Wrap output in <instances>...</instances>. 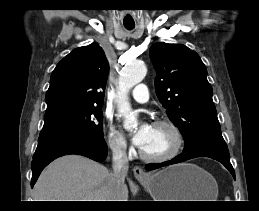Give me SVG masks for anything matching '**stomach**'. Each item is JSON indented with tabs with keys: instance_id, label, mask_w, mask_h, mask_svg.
I'll return each instance as SVG.
<instances>
[{
	"instance_id": "0dacf381",
	"label": "stomach",
	"mask_w": 259,
	"mask_h": 211,
	"mask_svg": "<svg viewBox=\"0 0 259 211\" xmlns=\"http://www.w3.org/2000/svg\"><path fill=\"white\" fill-rule=\"evenodd\" d=\"M139 181L155 201H215L218 195L213 176L189 163L164 168Z\"/></svg>"
}]
</instances>
